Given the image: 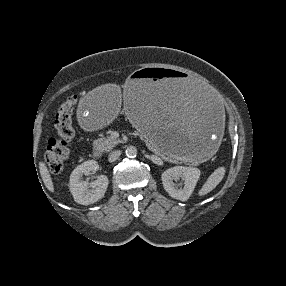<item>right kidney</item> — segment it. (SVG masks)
<instances>
[{"mask_svg": "<svg viewBox=\"0 0 286 286\" xmlns=\"http://www.w3.org/2000/svg\"><path fill=\"white\" fill-rule=\"evenodd\" d=\"M98 169L99 165L95 160H88L78 165L72 171L69 188L76 203L88 205L104 197L109 183L106 175L98 176L97 180L91 183L81 179L83 174L88 175L90 172H95Z\"/></svg>", "mask_w": 286, "mask_h": 286, "instance_id": "1", "label": "right kidney"}]
</instances>
